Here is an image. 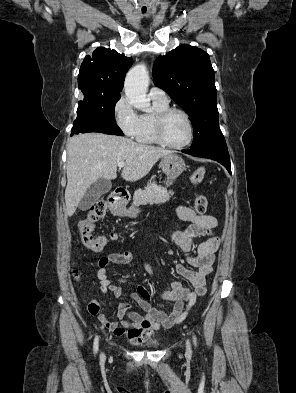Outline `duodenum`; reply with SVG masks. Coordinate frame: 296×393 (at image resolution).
<instances>
[{"label":"duodenum","mask_w":296,"mask_h":393,"mask_svg":"<svg viewBox=\"0 0 296 393\" xmlns=\"http://www.w3.org/2000/svg\"><path fill=\"white\" fill-rule=\"evenodd\" d=\"M127 199V192L123 188H118L109 198L110 209L115 212Z\"/></svg>","instance_id":"duodenum-1"}]
</instances>
